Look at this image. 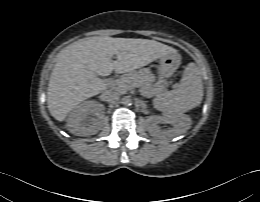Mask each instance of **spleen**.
Segmentation results:
<instances>
[{
	"label": "spleen",
	"mask_w": 260,
	"mask_h": 202,
	"mask_svg": "<svg viewBox=\"0 0 260 202\" xmlns=\"http://www.w3.org/2000/svg\"><path fill=\"white\" fill-rule=\"evenodd\" d=\"M202 99L203 85L198 67L189 63L178 87L157 97L153 105L164 114L181 113L199 106Z\"/></svg>",
	"instance_id": "3e777b00"
}]
</instances>
